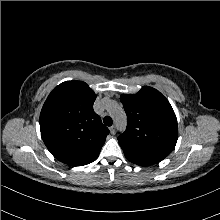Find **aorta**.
I'll return each mask as SVG.
<instances>
[{"label":"aorta","instance_id":"1","mask_svg":"<svg viewBox=\"0 0 220 220\" xmlns=\"http://www.w3.org/2000/svg\"><path fill=\"white\" fill-rule=\"evenodd\" d=\"M108 109L112 113L115 122L121 129L125 126V113L115 102H109L107 104Z\"/></svg>","mask_w":220,"mask_h":220}]
</instances>
